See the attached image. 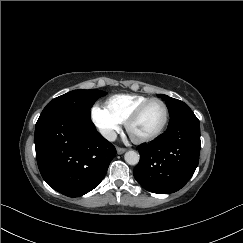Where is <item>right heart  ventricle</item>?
<instances>
[{"label":"right heart ventricle","mask_w":243,"mask_h":243,"mask_svg":"<svg viewBox=\"0 0 243 243\" xmlns=\"http://www.w3.org/2000/svg\"><path fill=\"white\" fill-rule=\"evenodd\" d=\"M150 99L136 94H117L107 100L106 108L123 123L136 108Z\"/></svg>","instance_id":"obj_1"}]
</instances>
